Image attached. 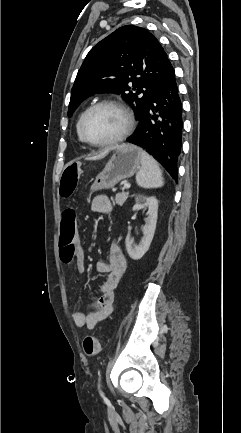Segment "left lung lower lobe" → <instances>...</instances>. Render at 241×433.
Masks as SVG:
<instances>
[{"instance_id": "1", "label": "left lung lower lobe", "mask_w": 241, "mask_h": 433, "mask_svg": "<svg viewBox=\"0 0 241 433\" xmlns=\"http://www.w3.org/2000/svg\"><path fill=\"white\" fill-rule=\"evenodd\" d=\"M182 103L169 66L161 85L150 97L142 111L138 127L127 142L143 147L169 174L178 179L177 162L182 145Z\"/></svg>"}]
</instances>
